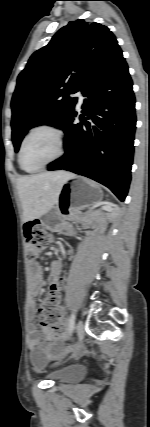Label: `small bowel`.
Instances as JSON below:
<instances>
[{
    "label": "small bowel",
    "mask_w": 150,
    "mask_h": 427,
    "mask_svg": "<svg viewBox=\"0 0 150 427\" xmlns=\"http://www.w3.org/2000/svg\"><path fill=\"white\" fill-rule=\"evenodd\" d=\"M60 263L53 261L51 263L50 289L60 291L61 279ZM30 280L33 290L36 293L43 291V274L39 265L30 268ZM28 350L31 355V362L36 369L43 367L47 362L52 360L59 352V342L64 339L63 335L57 336L51 334L47 329L44 330L47 341H42V335L34 324L28 326Z\"/></svg>",
    "instance_id": "1"
}]
</instances>
